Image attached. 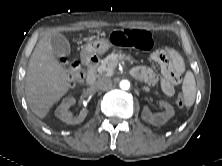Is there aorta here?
Here are the masks:
<instances>
[{
  "label": "aorta",
  "instance_id": "obj_1",
  "mask_svg": "<svg viewBox=\"0 0 222 166\" xmlns=\"http://www.w3.org/2000/svg\"><path fill=\"white\" fill-rule=\"evenodd\" d=\"M120 88L122 90H128L130 88V82L128 80H122L120 82Z\"/></svg>",
  "mask_w": 222,
  "mask_h": 166
}]
</instances>
